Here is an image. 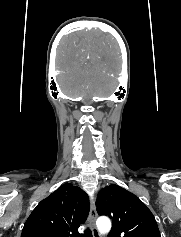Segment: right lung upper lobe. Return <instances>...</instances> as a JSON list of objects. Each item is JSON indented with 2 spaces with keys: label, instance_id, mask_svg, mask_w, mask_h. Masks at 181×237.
<instances>
[{
  "label": "right lung upper lobe",
  "instance_id": "1",
  "mask_svg": "<svg viewBox=\"0 0 181 237\" xmlns=\"http://www.w3.org/2000/svg\"><path fill=\"white\" fill-rule=\"evenodd\" d=\"M88 213L87 194L78 186L63 184L32 211L21 237H81L78 228Z\"/></svg>",
  "mask_w": 181,
  "mask_h": 237
}]
</instances>
